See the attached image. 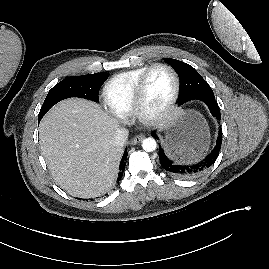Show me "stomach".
Segmentation results:
<instances>
[{
    "label": "stomach",
    "mask_w": 269,
    "mask_h": 269,
    "mask_svg": "<svg viewBox=\"0 0 269 269\" xmlns=\"http://www.w3.org/2000/svg\"><path fill=\"white\" fill-rule=\"evenodd\" d=\"M208 137V128L200 113L180 110L166 126V150L184 161H194L205 150Z\"/></svg>",
    "instance_id": "1"
}]
</instances>
